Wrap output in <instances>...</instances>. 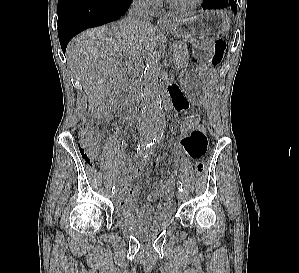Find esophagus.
Instances as JSON below:
<instances>
[{
    "instance_id": "34e87169",
    "label": "esophagus",
    "mask_w": 299,
    "mask_h": 273,
    "mask_svg": "<svg viewBox=\"0 0 299 273\" xmlns=\"http://www.w3.org/2000/svg\"><path fill=\"white\" fill-rule=\"evenodd\" d=\"M168 22H169V20L166 17H160L158 19V23H160V24H165V23H168Z\"/></svg>"
}]
</instances>
